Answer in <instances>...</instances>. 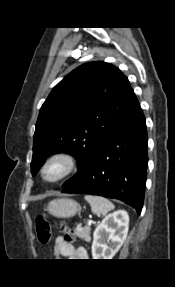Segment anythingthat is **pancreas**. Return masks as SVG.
<instances>
[{
	"instance_id": "pancreas-1",
	"label": "pancreas",
	"mask_w": 175,
	"mask_h": 287,
	"mask_svg": "<svg viewBox=\"0 0 175 287\" xmlns=\"http://www.w3.org/2000/svg\"><path fill=\"white\" fill-rule=\"evenodd\" d=\"M90 231H91L90 226H85L83 228H76L75 234L79 238L89 242L90 241Z\"/></svg>"
}]
</instances>
